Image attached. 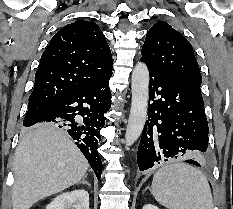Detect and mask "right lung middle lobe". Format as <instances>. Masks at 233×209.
<instances>
[{
	"label": "right lung middle lobe",
	"mask_w": 233,
	"mask_h": 209,
	"mask_svg": "<svg viewBox=\"0 0 233 209\" xmlns=\"http://www.w3.org/2000/svg\"><path fill=\"white\" fill-rule=\"evenodd\" d=\"M40 106L42 105H38V104H34V103H28V111L26 112L25 117L29 116L30 114H32L36 109H38ZM45 125L48 126H53L55 127L56 124L53 123H45Z\"/></svg>",
	"instance_id": "right-lung-middle-lobe-1"
}]
</instances>
